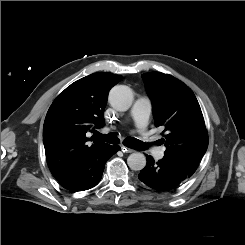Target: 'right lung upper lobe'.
<instances>
[{"label":"right lung upper lobe","instance_id":"right-lung-upper-lobe-1","mask_svg":"<svg viewBox=\"0 0 245 245\" xmlns=\"http://www.w3.org/2000/svg\"><path fill=\"white\" fill-rule=\"evenodd\" d=\"M121 78L108 72L88 75L68 86L52 103L43 126V142L55 179L108 146L101 140L88 146L87 133L104 126L107 94Z\"/></svg>","mask_w":245,"mask_h":245}]
</instances>
